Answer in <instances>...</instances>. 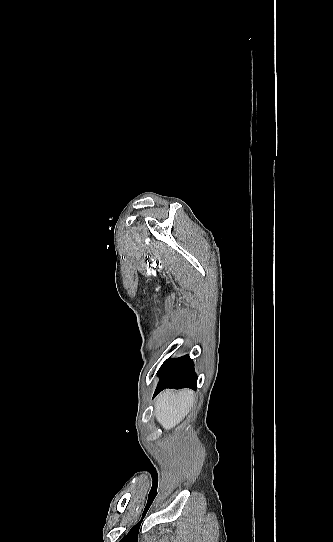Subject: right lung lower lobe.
I'll return each instance as SVG.
<instances>
[{"mask_svg":"<svg viewBox=\"0 0 333 542\" xmlns=\"http://www.w3.org/2000/svg\"><path fill=\"white\" fill-rule=\"evenodd\" d=\"M159 383L154 396L165 388H191L197 389V375L194 371L193 360L189 355L176 359L168 358L158 371Z\"/></svg>","mask_w":333,"mask_h":542,"instance_id":"98d812e1","label":"right lung lower lobe"}]
</instances>
